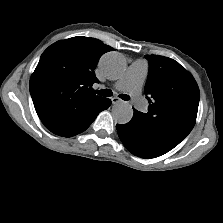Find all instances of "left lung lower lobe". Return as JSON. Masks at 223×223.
<instances>
[{"mask_svg":"<svg viewBox=\"0 0 223 223\" xmlns=\"http://www.w3.org/2000/svg\"><path fill=\"white\" fill-rule=\"evenodd\" d=\"M116 129L125 147L132 154L142 158L161 156L177 145L165 138L149 134L135 118L127 124L116 125Z\"/></svg>","mask_w":223,"mask_h":223,"instance_id":"0a47b994","label":"left lung lower lobe"}]
</instances>
